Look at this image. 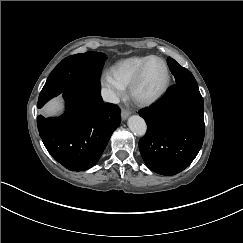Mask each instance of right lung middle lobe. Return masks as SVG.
Instances as JSON below:
<instances>
[{
	"label": "right lung middle lobe",
	"mask_w": 243,
	"mask_h": 243,
	"mask_svg": "<svg viewBox=\"0 0 243 243\" xmlns=\"http://www.w3.org/2000/svg\"><path fill=\"white\" fill-rule=\"evenodd\" d=\"M106 55L86 52L63 59L50 73L38 99V108L51 98L76 85L100 88V76Z\"/></svg>",
	"instance_id": "dd1d6c3e"
}]
</instances>
